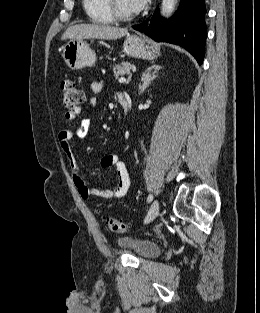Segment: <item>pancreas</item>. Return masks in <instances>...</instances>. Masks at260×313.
<instances>
[{
    "label": "pancreas",
    "instance_id": "pancreas-1",
    "mask_svg": "<svg viewBox=\"0 0 260 313\" xmlns=\"http://www.w3.org/2000/svg\"><path fill=\"white\" fill-rule=\"evenodd\" d=\"M132 69V65L129 62H122L120 65H114L113 66V71H114V76L115 78H118L119 76L122 75H129Z\"/></svg>",
    "mask_w": 260,
    "mask_h": 313
}]
</instances>
